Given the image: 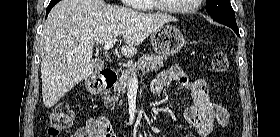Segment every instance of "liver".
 I'll return each instance as SVG.
<instances>
[{
  "mask_svg": "<svg viewBox=\"0 0 280 137\" xmlns=\"http://www.w3.org/2000/svg\"><path fill=\"white\" fill-rule=\"evenodd\" d=\"M170 15L140 13L103 0H62L44 24L41 34V78L44 106L53 107L78 83L94 72V45L122 35L125 57L150 34L173 21Z\"/></svg>",
  "mask_w": 280,
  "mask_h": 137,
  "instance_id": "liver-1",
  "label": "liver"
}]
</instances>
